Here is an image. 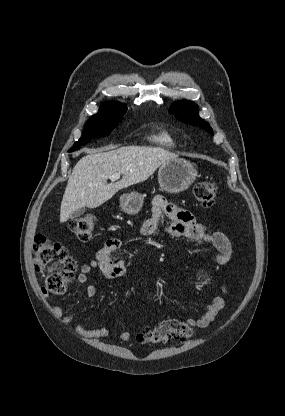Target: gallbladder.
I'll return each mask as SVG.
<instances>
[{"label": "gallbladder", "instance_id": "bac80fb5", "mask_svg": "<svg viewBox=\"0 0 285 416\" xmlns=\"http://www.w3.org/2000/svg\"><path fill=\"white\" fill-rule=\"evenodd\" d=\"M82 214H85V208H80V210H77V212H73V214H70V218L74 220V218H80Z\"/></svg>", "mask_w": 285, "mask_h": 416}]
</instances>
